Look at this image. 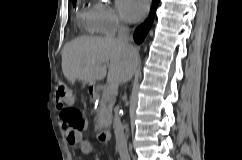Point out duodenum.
Segmentation results:
<instances>
[{"label": "duodenum", "mask_w": 242, "mask_h": 160, "mask_svg": "<svg viewBox=\"0 0 242 160\" xmlns=\"http://www.w3.org/2000/svg\"><path fill=\"white\" fill-rule=\"evenodd\" d=\"M95 91L92 92V95L95 96ZM98 139L100 142L106 143L110 140V132L107 129H102L98 132Z\"/></svg>", "instance_id": "duodenum-1"}]
</instances>
